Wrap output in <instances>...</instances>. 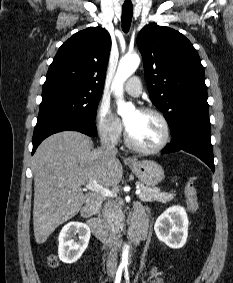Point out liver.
<instances>
[{"mask_svg": "<svg viewBox=\"0 0 233 283\" xmlns=\"http://www.w3.org/2000/svg\"><path fill=\"white\" fill-rule=\"evenodd\" d=\"M34 173L33 227L38 244L44 243L62 223L73 218L88 195L82 186L90 181L116 187L123 176L120 160L77 131H62L37 148Z\"/></svg>", "mask_w": 233, "mask_h": 283, "instance_id": "liver-1", "label": "liver"}]
</instances>
